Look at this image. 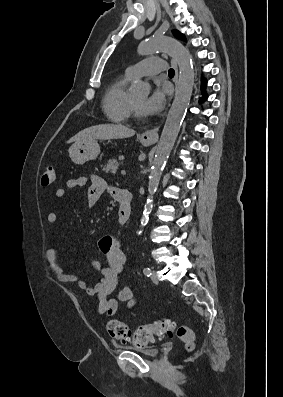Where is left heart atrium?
<instances>
[{"instance_id": "1", "label": "left heart atrium", "mask_w": 283, "mask_h": 397, "mask_svg": "<svg viewBox=\"0 0 283 397\" xmlns=\"http://www.w3.org/2000/svg\"><path fill=\"white\" fill-rule=\"evenodd\" d=\"M168 90L165 88H156L150 96L140 105L139 111L142 115L150 116L160 112L165 104Z\"/></svg>"}]
</instances>
